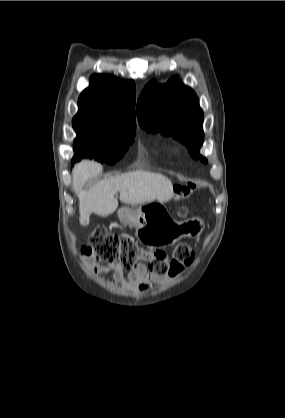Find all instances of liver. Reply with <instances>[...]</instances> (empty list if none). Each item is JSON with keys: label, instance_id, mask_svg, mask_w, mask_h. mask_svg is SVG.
Segmentation results:
<instances>
[{"label": "liver", "instance_id": "6515ba94", "mask_svg": "<svg viewBox=\"0 0 285 418\" xmlns=\"http://www.w3.org/2000/svg\"><path fill=\"white\" fill-rule=\"evenodd\" d=\"M103 167L93 161H82L72 171V187L79 199L80 222L89 218L91 213L105 217L118 207L115 198L120 193V201L137 205L157 200L160 203L169 201L173 195V185L166 176L144 170H135L97 182L89 190L85 183L97 176Z\"/></svg>", "mask_w": 285, "mask_h": 418}]
</instances>
